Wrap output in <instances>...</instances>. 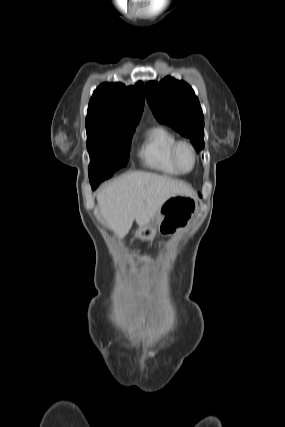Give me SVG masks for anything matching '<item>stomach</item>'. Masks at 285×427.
Listing matches in <instances>:
<instances>
[{
    "instance_id": "stomach-1",
    "label": "stomach",
    "mask_w": 285,
    "mask_h": 427,
    "mask_svg": "<svg viewBox=\"0 0 285 427\" xmlns=\"http://www.w3.org/2000/svg\"><path fill=\"white\" fill-rule=\"evenodd\" d=\"M197 209V202L192 197L185 195L171 197L154 216L152 224L137 230L136 237L152 240L157 229L164 234L179 231L191 222Z\"/></svg>"
}]
</instances>
